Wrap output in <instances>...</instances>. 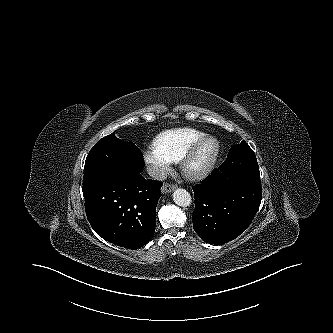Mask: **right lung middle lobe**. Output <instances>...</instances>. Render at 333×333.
<instances>
[{
	"mask_svg": "<svg viewBox=\"0 0 333 333\" xmlns=\"http://www.w3.org/2000/svg\"><path fill=\"white\" fill-rule=\"evenodd\" d=\"M143 167V155L138 147L111 133L100 139L90 150L85 161L83 185L110 176L141 172Z\"/></svg>",
	"mask_w": 333,
	"mask_h": 333,
	"instance_id": "dd1d6c3e",
	"label": "right lung middle lobe"
}]
</instances>
